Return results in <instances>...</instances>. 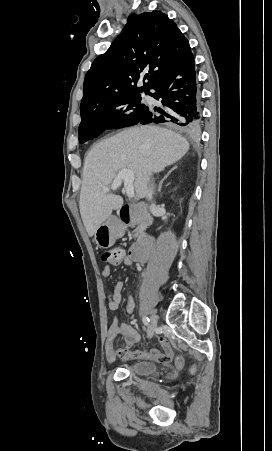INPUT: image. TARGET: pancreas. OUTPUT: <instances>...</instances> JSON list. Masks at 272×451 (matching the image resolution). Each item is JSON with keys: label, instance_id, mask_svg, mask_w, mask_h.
<instances>
[{"label": "pancreas", "instance_id": "1", "mask_svg": "<svg viewBox=\"0 0 272 451\" xmlns=\"http://www.w3.org/2000/svg\"><path fill=\"white\" fill-rule=\"evenodd\" d=\"M118 229H119L120 233H122V235H124L125 226H123V224H119ZM132 233H133L134 237H137V241H138V239H141V237L143 235V227H141V226L136 227V229H133Z\"/></svg>", "mask_w": 272, "mask_h": 451}]
</instances>
